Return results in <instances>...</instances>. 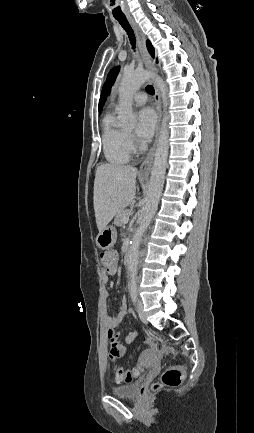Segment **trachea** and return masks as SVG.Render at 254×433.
<instances>
[{
	"label": "trachea",
	"instance_id": "3493384b",
	"mask_svg": "<svg viewBox=\"0 0 254 433\" xmlns=\"http://www.w3.org/2000/svg\"><path fill=\"white\" fill-rule=\"evenodd\" d=\"M115 19L120 23L123 29L127 32L132 48L135 49V44H136L135 35L127 19L126 18H115ZM146 90L151 95H154L155 93L154 88L151 85H147Z\"/></svg>",
	"mask_w": 254,
	"mask_h": 433
}]
</instances>
